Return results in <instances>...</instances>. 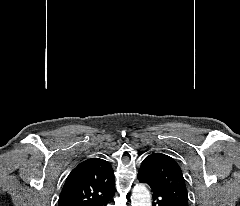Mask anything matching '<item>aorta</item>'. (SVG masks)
<instances>
[{
  "label": "aorta",
  "mask_w": 240,
  "mask_h": 206,
  "mask_svg": "<svg viewBox=\"0 0 240 206\" xmlns=\"http://www.w3.org/2000/svg\"><path fill=\"white\" fill-rule=\"evenodd\" d=\"M132 206H152L149 190L143 184L136 185L132 190Z\"/></svg>",
  "instance_id": "1"
}]
</instances>
